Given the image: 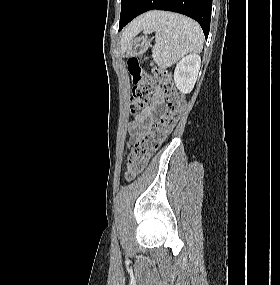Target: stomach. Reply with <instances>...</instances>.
<instances>
[{"mask_svg":"<svg viewBox=\"0 0 280 285\" xmlns=\"http://www.w3.org/2000/svg\"><path fill=\"white\" fill-rule=\"evenodd\" d=\"M151 44V39L147 36L144 37H136L134 39L129 40L126 47V55L128 57L139 56L143 54Z\"/></svg>","mask_w":280,"mask_h":285,"instance_id":"obj_1","label":"stomach"}]
</instances>
